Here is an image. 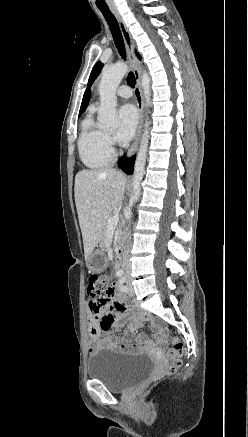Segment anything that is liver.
I'll return each instance as SVG.
<instances>
[{
    "instance_id": "obj_1",
    "label": "liver",
    "mask_w": 248,
    "mask_h": 437,
    "mask_svg": "<svg viewBox=\"0 0 248 437\" xmlns=\"http://www.w3.org/2000/svg\"><path fill=\"white\" fill-rule=\"evenodd\" d=\"M126 178L115 169L81 170L75 177V203L85 259L103 237L112 211L124 198Z\"/></svg>"
}]
</instances>
